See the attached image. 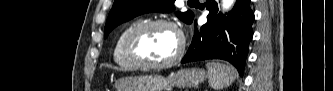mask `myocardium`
<instances>
[{
	"label": "myocardium",
	"mask_w": 333,
	"mask_h": 91,
	"mask_svg": "<svg viewBox=\"0 0 333 91\" xmlns=\"http://www.w3.org/2000/svg\"><path fill=\"white\" fill-rule=\"evenodd\" d=\"M156 27H169L173 29L180 39V45L176 54L169 60L163 62H150L138 52V40L148 30ZM185 38L179 27L173 21L166 19H156L138 23L127 35L125 41V53L128 59L139 68L143 69H163L176 64L183 57L185 52Z\"/></svg>",
	"instance_id": "f54148a6"
}]
</instances>
